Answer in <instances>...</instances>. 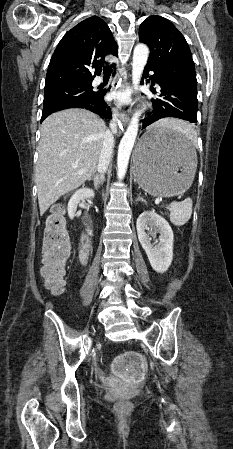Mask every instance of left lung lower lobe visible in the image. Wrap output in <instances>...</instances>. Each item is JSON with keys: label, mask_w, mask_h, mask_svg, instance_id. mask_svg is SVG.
Segmentation results:
<instances>
[{"label": "left lung lower lobe", "mask_w": 233, "mask_h": 449, "mask_svg": "<svg viewBox=\"0 0 233 449\" xmlns=\"http://www.w3.org/2000/svg\"><path fill=\"white\" fill-rule=\"evenodd\" d=\"M149 71L154 72V75L150 76L152 84L157 83L161 91L159 98L153 101L152 112L143 120L142 129L165 117H175L196 123L197 92L187 89L149 65H146L143 77H148ZM152 92L155 93V91ZM149 141L150 143L180 142L181 138L173 133H162L151 136Z\"/></svg>", "instance_id": "0a47b994"}]
</instances>
